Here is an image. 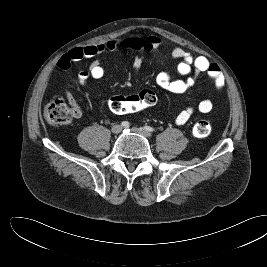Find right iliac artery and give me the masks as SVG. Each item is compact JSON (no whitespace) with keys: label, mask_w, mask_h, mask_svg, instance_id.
I'll return each instance as SVG.
<instances>
[{"label":"right iliac artery","mask_w":267,"mask_h":267,"mask_svg":"<svg viewBox=\"0 0 267 267\" xmlns=\"http://www.w3.org/2000/svg\"><path fill=\"white\" fill-rule=\"evenodd\" d=\"M121 125L123 126V127H129V122L128 121H123L122 123H121Z\"/></svg>","instance_id":"82829eb1"}]
</instances>
